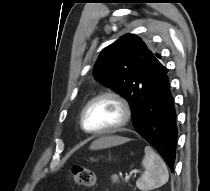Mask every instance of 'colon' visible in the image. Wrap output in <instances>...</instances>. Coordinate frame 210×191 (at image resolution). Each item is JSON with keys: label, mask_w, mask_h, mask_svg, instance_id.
Returning a JSON list of instances; mask_svg holds the SVG:
<instances>
[{"label": "colon", "mask_w": 210, "mask_h": 191, "mask_svg": "<svg viewBox=\"0 0 210 191\" xmlns=\"http://www.w3.org/2000/svg\"><path fill=\"white\" fill-rule=\"evenodd\" d=\"M69 176L73 182L79 185L91 187L96 184L95 173L87 167L74 165L70 169Z\"/></svg>", "instance_id": "5ec220e1"}]
</instances>
